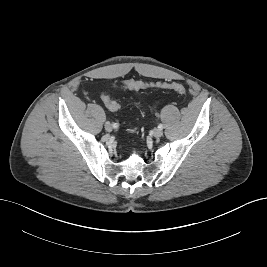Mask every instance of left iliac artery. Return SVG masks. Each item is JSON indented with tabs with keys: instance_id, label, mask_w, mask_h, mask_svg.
<instances>
[{
	"instance_id": "obj_1",
	"label": "left iliac artery",
	"mask_w": 267,
	"mask_h": 267,
	"mask_svg": "<svg viewBox=\"0 0 267 267\" xmlns=\"http://www.w3.org/2000/svg\"><path fill=\"white\" fill-rule=\"evenodd\" d=\"M158 128L162 130L163 129V125L162 124H159L158 125Z\"/></svg>"
}]
</instances>
